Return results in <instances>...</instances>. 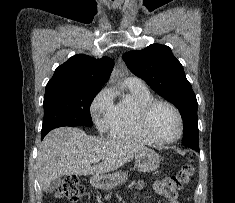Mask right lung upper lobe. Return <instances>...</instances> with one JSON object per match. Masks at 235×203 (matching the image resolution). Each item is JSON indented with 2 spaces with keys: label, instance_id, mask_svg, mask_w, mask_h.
I'll list each match as a JSON object with an SVG mask.
<instances>
[{
  "label": "right lung upper lobe",
  "instance_id": "right-lung-upper-lobe-1",
  "mask_svg": "<svg viewBox=\"0 0 235 203\" xmlns=\"http://www.w3.org/2000/svg\"><path fill=\"white\" fill-rule=\"evenodd\" d=\"M113 66L114 61L108 57L96 59L77 54L56 68L46 88L76 85L102 88L109 79Z\"/></svg>",
  "mask_w": 235,
  "mask_h": 203
}]
</instances>
